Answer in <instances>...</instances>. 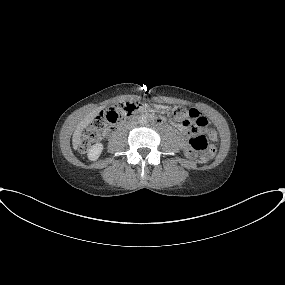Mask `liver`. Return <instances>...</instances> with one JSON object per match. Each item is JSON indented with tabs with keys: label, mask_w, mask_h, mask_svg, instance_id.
<instances>
[{
	"label": "liver",
	"mask_w": 285,
	"mask_h": 285,
	"mask_svg": "<svg viewBox=\"0 0 285 285\" xmlns=\"http://www.w3.org/2000/svg\"><path fill=\"white\" fill-rule=\"evenodd\" d=\"M103 109V107H98L92 112H90L87 116L84 117V119L77 125L73 137H72V144L73 148L76 150L81 142V135L83 130L91 123L93 122L94 118L97 116L99 111Z\"/></svg>",
	"instance_id": "1"
}]
</instances>
